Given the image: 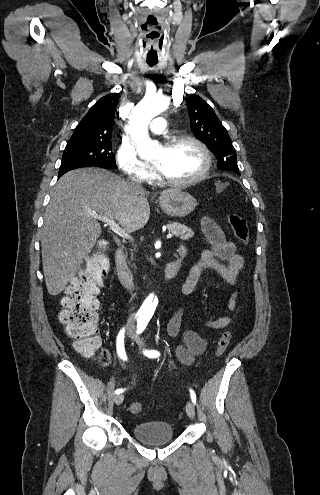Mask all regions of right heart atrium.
<instances>
[{
  "instance_id": "d8ad5b80",
  "label": "right heart atrium",
  "mask_w": 320,
  "mask_h": 495,
  "mask_svg": "<svg viewBox=\"0 0 320 495\" xmlns=\"http://www.w3.org/2000/svg\"><path fill=\"white\" fill-rule=\"evenodd\" d=\"M118 165L128 177L140 180H152L154 175L145 162L141 161L132 145L123 142L117 152Z\"/></svg>"
}]
</instances>
